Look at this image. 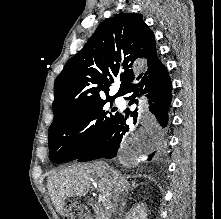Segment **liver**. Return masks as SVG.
I'll list each match as a JSON object with an SVG mask.
<instances>
[{
    "instance_id": "obj_1",
    "label": "liver",
    "mask_w": 221,
    "mask_h": 219,
    "mask_svg": "<svg viewBox=\"0 0 221 219\" xmlns=\"http://www.w3.org/2000/svg\"><path fill=\"white\" fill-rule=\"evenodd\" d=\"M128 178L107 164L103 167V162L100 161L73 164L52 171L48 177L47 189L56 211L61 215L65 200L86 195L91 185L99 192L100 201L113 212L119 198L130 191Z\"/></svg>"
}]
</instances>
